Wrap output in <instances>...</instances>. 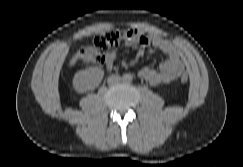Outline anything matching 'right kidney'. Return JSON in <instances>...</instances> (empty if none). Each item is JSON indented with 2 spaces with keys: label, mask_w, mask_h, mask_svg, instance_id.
<instances>
[{
  "label": "right kidney",
  "mask_w": 243,
  "mask_h": 167,
  "mask_svg": "<svg viewBox=\"0 0 243 167\" xmlns=\"http://www.w3.org/2000/svg\"><path fill=\"white\" fill-rule=\"evenodd\" d=\"M104 71L97 67H91L77 72L73 78V88L78 93L94 90L102 81Z\"/></svg>",
  "instance_id": "1"
}]
</instances>
